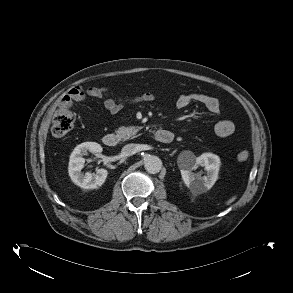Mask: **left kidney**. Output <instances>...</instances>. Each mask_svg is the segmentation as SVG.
Here are the masks:
<instances>
[{
  "label": "left kidney",
  "mask_w": 293,
  "mask_h": 293,
  "mask_svg": "<svg viewBox=\"0 0 293 293\" xmlns=\"http://www.w3.org/2000/svg\"><path fill=\"white\" fill-rule=\"evenodd\" d=\"M199 166H203L206 175L195 174ZM220 158L212 153H203L201 156L191 159L187 163L179 164L182 179L192 194L198 195L211 189L218 179Z\"/></svg>",
  "instance_id": "obj_1"
}]
</instances>
